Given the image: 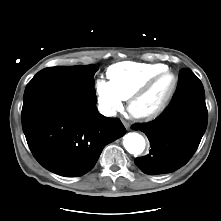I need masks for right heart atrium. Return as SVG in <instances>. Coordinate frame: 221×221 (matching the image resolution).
<instances>
[{
    "instance_id": "obj_1",
    "label": "right heart atrium",
    "mask_w": 221,
    "mask_h": 221,
    "mask_svg": "<svg viewBox=\"0 0 221 221\" xmlns=\"http://www.w3.org/2000/svg\"><path fill=\"white\" fill-rule=\"evenodd\" d=\"M95 92L99 110L107 117H114L122 108V98L112 85L104 79H98L95 83Z\"/></svg>"
}]
</instances>
